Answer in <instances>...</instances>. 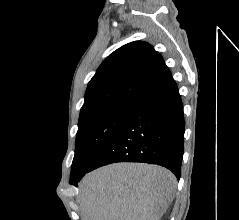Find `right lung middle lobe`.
Wrapping results in <instances>:
<instances>
[{
  "label": "right lung middle lobe",
  "mask_w": 239,
  "mask_h": 220,
  "mask_svg": "<svg viewBox=\"0 0 239 220\" xmlns=\"http://www.w3.org/2000/svg\"><path fill=\"white\" fill-rule=\"evenodd\" d=\"M131 104L89 114L78 123L71 180L83 177L127 115Z\"/></svg>",
  "instance_id": "1"
}]
</instances>
